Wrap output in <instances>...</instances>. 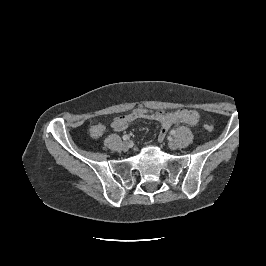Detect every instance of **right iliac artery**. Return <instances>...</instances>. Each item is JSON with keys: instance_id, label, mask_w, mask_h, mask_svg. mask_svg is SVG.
<instances>
[{"instance_id": "1", "label": "right iliac artery", "mask_w": 266, "mask_h": 266, "mask_svg": "<svg viewBox=\"0 0 266 266\" xmlns=\"http://www.w3.org/2000/svg\"><path fill=\"white\" fill-rule=\"evenodd\" d=\"M129 138H130L129 135H123L122 136V139L125 140V141L128 140Z\"/></svg>"}]
</instances>
